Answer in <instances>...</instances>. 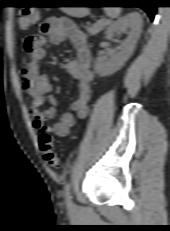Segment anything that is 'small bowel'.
I'll use <instances>...</instances> for the list:
<instances>
[{
	"mask_svg": "<svg viewBox=\"0 0 170 231\" xmlns=\"http://www.w3.org/2000/svg\"><path fill=\"white\" fill-rule=\"evenodd\" d=\"M40 32L46 35L52 44H60L69 40L73 45L76 56L74 59L64 60L61 67L78 82V96L71 104V112H65L52 125L46 121L56 115L53 107L42 110L43 104L48 101L54 105L55 97L51 94L52 87L48 77L40 72L39 64L46 57V39L37 37L38 47L31 54L23 69V88L31 99L30 114L33 117V127L42 133H53L58 137L69 135L77 119L88 115L89 102L92 93L93 73L91 66V52L85 34L67 18H48L40 25Z\"/></svg>",
	"mask_w": 170,
	"mask_h": 231,
	"instance_id": "small-bowel-1",
	"label": "small bowel"
}]
</instances>
